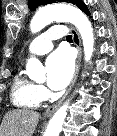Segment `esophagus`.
Wrapping results in <instances>:
<instances>
[{
    "instance_id": "1",
    "label": "esophagus",
    "mask_w": 117,
    "mask_h": 136,
    "mask_svg": "<svg viewBox=\"0 0 117 136\" xmlns=\"http://www.w3.org/2000/svg\"><path fill=\"white\" fill-rule=\"evenodd\" d=\"M70 31H71V34L73 37V42H74V44L77 48V51H78L74 75H73L72 81L70 83V86L67 89V91L65 92V94L61 97V99L59 101H57L56 103H54L53 105H51L50 107H48L45 110V112L43 113L44 117H48V116L52 115V113H54V111L61 105V103L65 100V98L69 94L70 90L72 89V87L77 79V76H78L80 62H81V56H82L81 41H80L79 34L74 27L70 26Z\"/></svg>"
}]
</instances>
